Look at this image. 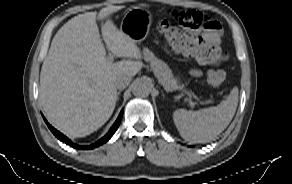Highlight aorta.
<instances>
[{
	"instance_id": "762f6f07",
	"label": "aorta",
	"mask_w": 292,
	"mask_h": 184,
	"mask_svg": "<svg viewBox=\"0 0 292 184\" xmlns=\"http://www.w3.org/2000/svg\"><path fill=\"white\" fill-rule=\"evenodd\" d=\"M151 92L150 84L142 79H138L133 83L132 93L136 97H148Z\"/></svg>"
}]
</instances>
